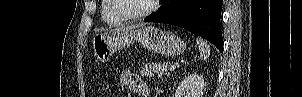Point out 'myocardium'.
Instances as JSON below:
<instances>
[{"label":"myocardium","mask_w":302,"mask_h":97,"mask_svg":"<svg viewBox=\"0 0 302 97\" xmlns=\"http://www.w3.org/2000/svg\"><path fill=\"white\" fill-rule=\"evenodd\" d=\"M117 1L118 0H110L113 12L125 21H137L144 19L155 11L157 5V0H151V3L148 8L145 9L143 12L137 14H127L120 9Z\"/></svg>","instance_id":"myocardium-1"}]
</instances>
